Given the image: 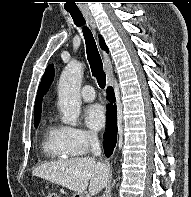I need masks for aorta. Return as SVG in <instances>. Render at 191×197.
Masks as SVG:
<instances>
[{
	"label": "aorta",
	"mask_w": 191,
	"mask_h": 197,
	"mask_svg": "<svg viewBox=\"0 0 191 197\" xmlns=\"http://www.w3.org/2000/svg\"><path fill=\"white\" fill-rule=\"evenodd\" d=\"M83 65L71 61L64 68L58 84V107L63 114L62 122L76 126L81 109L80 87Z\"/></svg>",
	"instance_id": "762f6f07"
}]
</instances>
